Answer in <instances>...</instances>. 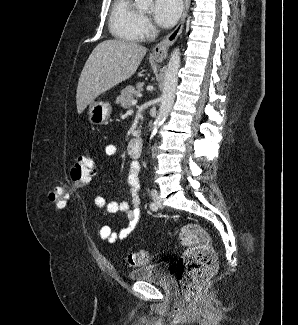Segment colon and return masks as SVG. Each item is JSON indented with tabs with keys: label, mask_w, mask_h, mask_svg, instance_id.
I'll return each mask as SVG.
<instances>
[{
	"label": "colon",
	"mask_w": 298,
	"mask_h": 325,
	"mask_svg": "<svg viewBox=\"0 0 298 325\" xmlns=\"http://www.w3.org/2000/svg\"><path fill=\"white\" fill-rule=\"evenodd\" d=\"M94 171V153L87 151L80 154L71 169V187L53 189L49 193V201L57 207L65 205L72 190L89 184ZM179 238L185 250L178 262L176 275L183 295L188 299H194L214 275L217 260L209 235L199 225L183 226ZM150 259L148 251L137 250L129 253L127 263L130 266H140L148 263Z\"/></svg>",
	"instance_id": "obj_1"
}]
</instances>
